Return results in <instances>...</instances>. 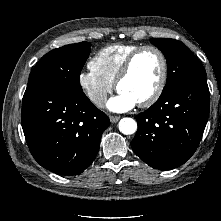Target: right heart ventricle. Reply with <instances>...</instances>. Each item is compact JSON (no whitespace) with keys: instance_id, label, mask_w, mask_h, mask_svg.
I'll return each instance as SVG.
<instances>
[{"instance_id":"1","label":"right heart ventricle","mask_w":221,"mask_h":221,"mask_svg":"<svg viewBox=\"0 0 221 221\" xmlns=\"http://www.w3.org/2000/svg\"><path fill=\"white\" fill-rule=\"evenodd\" d=\"M139 44H113L99 50L90 61L91 68L103 78L115 83L126 58Z\"/></svg>"}]
</instances>
